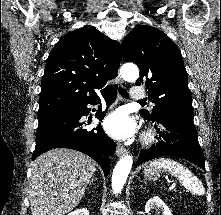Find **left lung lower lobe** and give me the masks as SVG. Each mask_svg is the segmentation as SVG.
<instances>
[{
	"label": "left lung lower lobe",
	"instance_id": "0a47b994",
	"mask_svg": "<svg viewBox=\"0 0 221 215\" xmlns=\"http://www.w3.org/2000/svg\"><path fill=\"white\" fill-rule=\"evenodd\" d=\"M160 139L150 149L142 150L136 166L161 156H177L205 168L204 155L198 142L193 117L164 115L156 121Z\"/></svg>",
	"mask_w": 221,
	"mask_h": 215
}]
</instances>
